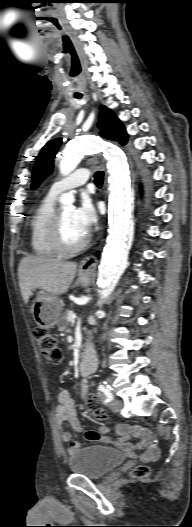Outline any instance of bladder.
<instances>
[{
    "label": "bladder",
    "mask_w": 192,
    "mask_h": 527,
    "mask_svg": "<svg viewBox=\"0 0 192 527\" xmlns=\"http://www.w3.org/2000/svg\"><path fill=\"white\" fill-rule=\"evenodd\" d=\"M126 459L123 452L107 445H89L77 450L69 458L70 471L90 479H101L120 466Z\"/></svg>",
    "instance_id": "1"
}]
</instances>
